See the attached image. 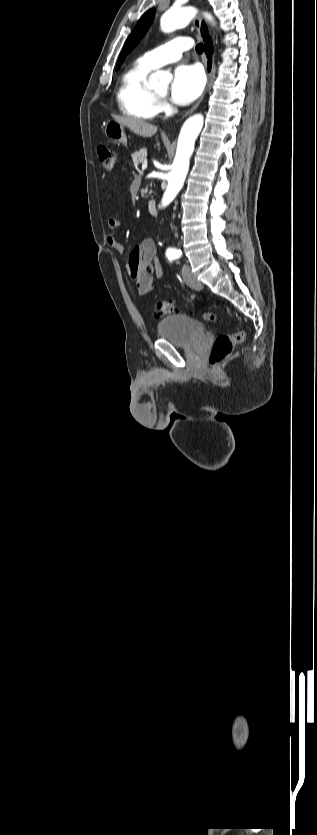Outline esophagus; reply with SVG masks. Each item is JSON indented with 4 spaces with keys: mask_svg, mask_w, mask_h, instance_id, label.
Wrapping results in <instances>:
<instances>
[{
    "mask_svg": "<svg viewBox=\"0 0 317 835\" xmlns=\"http://www.w3.org/2000/svg\"><path fill=\"white\" fill-rule=\"evenodd\" d=\"M193 24H194V27H195L198 31H200L202 21H201V17H200L199 15H197V16L194 18ZM211 58H212V61H214V54L212 55V57H211ZM210 81H211V76L209 75L208 86H209V84H210ZM204 95H205V94H203V95L200 97V99H199V100H198V101H197V102H196V103H195V104H194V105H193V106H192V107H191V108H190V109H189V110H188V111H187V112L183 115V117H185V116H187V115L191 114V113H192V112H193V111H194V110H195V109L199 106V104L201 103V101H202V100H203V98H204Z\"/></svg>",
    "mask_w": 317,
    "mask_h": 835,
    "instance_id": "34e87169",
    "label": "esophagus"
}]
</instances>
